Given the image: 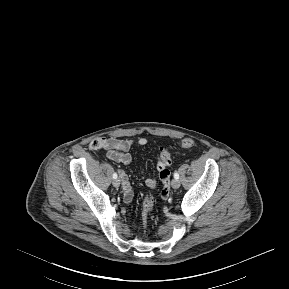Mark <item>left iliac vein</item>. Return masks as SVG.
I'll list each match as a JSON object with an SVG mask.
<instances>
[{"instance_id":"4c4485c4","label":"left iliac vein","mask_w":289,"mask_h":289,"mask_svg":"<svg viewBox=\"0 0 289 289\" xmlns=\"http://www.w3.org/2000/svg\"><path fill=\"white\" fill-rule=\"evenodd\" d=\"M171 186L174 189H178L180 187V181L178 179H173L172 182H171Z\"/></svg>"}]
</instances>
